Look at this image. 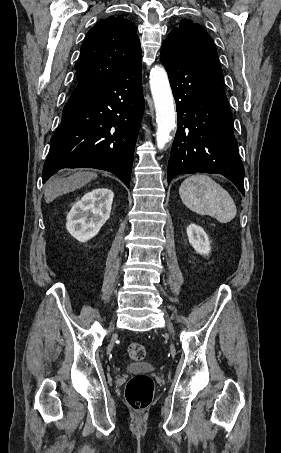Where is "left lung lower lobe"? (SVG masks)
Returning <instances> with one entry per match:
<instances>
[{
  "mask_svg": "<svg viewBox=\"0 0 281 453\" xmlns=\"http://www.w3.org/2000/svg\"><path fill=\"white\" fill-rule=\"evenodd\" d=\"M161 62L168 72L178 112L168 183L181 173H218L244 195V167L219 63L184 58L165 44Z\"/></svg>",
  "mask_w": 281,
  "mask_h": 453,
  "instance_id": "1",
  "label": "left lung lower lobe"
}]
</instances>
